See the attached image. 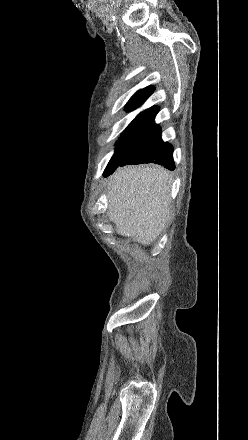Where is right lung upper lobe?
Instances as JSON below:
<instances>
[{"mask_svg": "<svg viewBox=\"0 0 248 440\" xmlns=\"http://www.w3.org/2000/svg\"><path fill=\"white\" fill-rule=\"evenodd\" d=\"M154 87L149 86L142 90H139L136 92L129 102L126 105V109L128 111H131L137 107H139L141 104L144 103V101L153 93ZM159 108L154 106L151 108L146 109L145 111L141 112L137 117L129 124L126 131H134L137 130L139 127H141L143 124L147 123L151 119L155 117L157 114Z\"/></svg>", "mask_w": 248, "mask_h": 440, "instance_id": "obj_1", "label": "right lung upper lobe"}]
</instances>
